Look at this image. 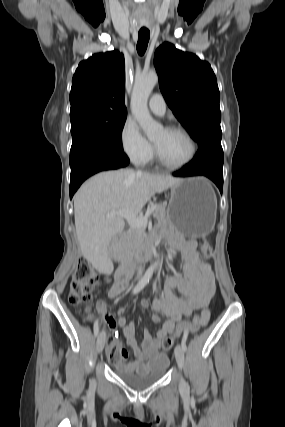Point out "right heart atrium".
I'll return each mask as SVG.
<instances>
[{
	"mask_svg": "<svg viewBox=\"0 0 285 427\" xmlns=\"http://www.w3.org/2000/svg\"><path fill=\"white\" fill-rule=\"evenodd\" d=\"M120 143L124 154L136 164L147 163L153 156V145L143 136L132 119H126L122 126Z\"/></svg>",
	"mask_w": 285,
	"mask_h": 427,
	"instance_id": "right-heart-atrium-1",
	"label": "right heart atrium"
}]
</instances>
